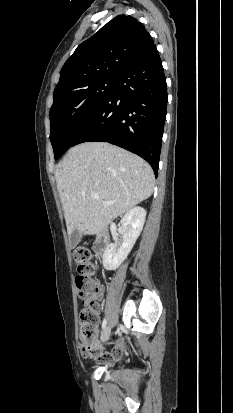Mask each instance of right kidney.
Listing matches in <instances>:
<instances>
[{
    "label": "right kidney",
    "instance_id": "ca27d5eb",
    "mask_svg": "<svg viewBox=\"0 0 233 413\" xmlns=\"http://www.w3.org/2000/svg\"><path fill=\"white\" fill-rule=\"evenodd\" d=\"M146 219V210L140 206L131 208L122 217L121 230L123 241L116 251V245L111 243L103 254V266L106 270H116L127 258L139 237Z\"/></svg>",
    "mask_w": 233,
    "mask_h": 413
}]
</instances>
